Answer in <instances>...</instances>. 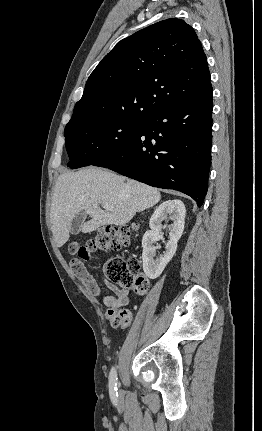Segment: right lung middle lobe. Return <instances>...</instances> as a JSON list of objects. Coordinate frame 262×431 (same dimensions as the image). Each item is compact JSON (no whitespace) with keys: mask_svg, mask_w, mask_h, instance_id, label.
Here are the masks:
<instances>
[{"mask_svg":"<svg viewBox=\"0 0 262 431\" xmlns=\"http://www.w3.org/2000/svg\"><path fill=\"white\" fill-rule=\"evenodd\" d=\"M144 118L119 117L90 120L67 126L64 131L71 169L92 165L107 157L140 129Z\"/></svg>","mask_w":262,"mask_h":431,"instance_id":"dd1d6c3e","label":"right lung middle lobe"}]
</instances>
